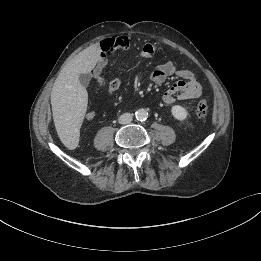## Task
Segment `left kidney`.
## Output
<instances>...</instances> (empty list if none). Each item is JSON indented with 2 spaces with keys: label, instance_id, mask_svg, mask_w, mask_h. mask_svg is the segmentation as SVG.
I'll return each instance as SVG.
<instances>
[{
  "label": "left kidney",
  "instance_id": "1",
  "mask_svg": "<svg viewBox=\"0 0 261 261\" xmlns=\"http://www.w3.org/2000/svg\"><path fill=\"white\" fill-rule=\"evenodd\" d=\"M171 113H172L173 117L179 121L186 120L188 117L187 110L180 105L172 106Z\"/></svg>",
  "mask_w": 261,
  "mask_h": 261
}]
</instances>
